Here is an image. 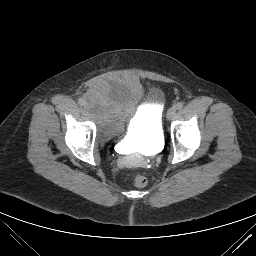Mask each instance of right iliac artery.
<instances>
[{
    "instance_id": "82829eb1",
    "label": "right iliac artery",
    "mask_w": 256,
    "mask_h": 256,
    "mask_svg": "<svg viewBox=\"0 0 256 256\" xmlns=\"http://www.w3.org/2000/svg\"><path fill=\"white\" fill-rule=\"evenodd\" d=\"M78 103H79L81 106H83V105L86 104V101H85L84 98H80V99L78 100Z\"/></svg>"
}]
</instances>
